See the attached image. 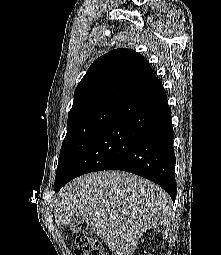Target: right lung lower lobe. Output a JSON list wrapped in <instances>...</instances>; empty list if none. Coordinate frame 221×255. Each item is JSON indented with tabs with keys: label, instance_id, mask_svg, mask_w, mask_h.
Segmentation results:
<instances>
[{
	"label": "right lung lower lobe",
	"instance_id": "right-lung-lower-lobe-1",
	"mask_svg": "<svg viewBox=\"0 0 221 255\" xmlns=\"http://www.w3.org/2000/svg\"><path fill=\"white\" fill-rule=\"evenodd\" d=\"M110 169L154 181L175 200L171 112L159 80L119 105L54 190L82 174Z\"/></svg>",
	"mask_w": 221,
	"mask_h": 255
}]
</instances>
